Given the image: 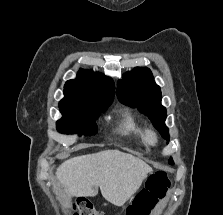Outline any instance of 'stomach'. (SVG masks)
Listing matches in <instances>:
<instances>
[{
    "label": "stomach",
    "instance_id": "obj_1",
    "mask_svg": "<svg viewBox=\"0 0 223 215\" xmlns=\"http://www.w3.org/2000/svg\"><path fill=\"white\" fill-rule=\"evenodd\" d=\"M145 179H152V175H146ZM141 190H149L148 187H143Z\"/></svg>",
    "mask_w": 223,
    "mask_h": 215
}]
</instances>
